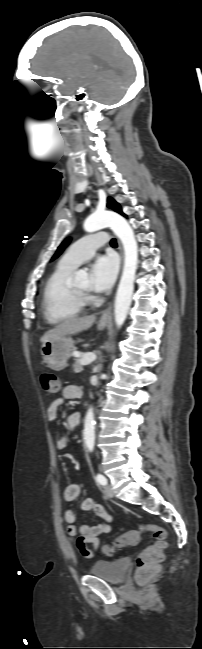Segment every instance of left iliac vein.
Segmentation results:
<instances>
[{
    "label": "left iliac vein",
    "mask_w": 202,
    "mask_h": 649,
    "mask_svg": "<svg viewBox=\"0 0 202 649\" xmlns=\"http://www.w3.org/2000/svg\"><path fill=\"white\" fill-rule=\"evenodd\" d=\"M104 492H105V494H106L108 497H110V498H113V497H114V492H113V490H112V488H111L110 485H105V487H104Z\"/></svg>",
    "instance_id": "4c4485c4"
}]
</instances>
